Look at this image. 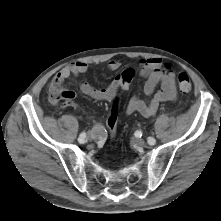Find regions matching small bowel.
I'll return each mask as SVG.
<instances>
[{
    "label": "small bowel",
    "instance_id": "small-bowel-1",
    "mask_svg": "<svg viewBox=\"0 0 221 221\" xmlns=\"http://www.w3.org/2000/svg\"><path fill=\"white\" fill-rule=\"evenodd\" d=\"M119 68L120 62L117 60H111L107 64V69L110 71H116ZM88 69V63L74 62L61 69L54 77L53 82L58 81L62 83L71 76H79L86 73ZM140 74L145 78L143 92L149 99L138 96L131 97L127 103V113H139L144 117H151L157 113L160 104L176 101L178 91L175 74L170 64L164 63L159 58H147L141 61ZM134 75L135 71L129 68L117 75L106 87L95 88L88 82L82 81L79 84V88L84 95L94 100L107 101L111 100L119 89L127 90ZM94 133L102 137L103 129L97 126L94 129Z\"/></svg>",
    "mask_w": 221,
    "mask_h": 221
}]
</instances>
